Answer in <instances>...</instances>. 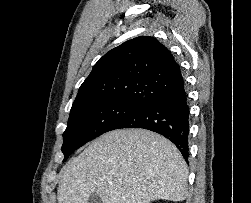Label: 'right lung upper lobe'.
I'll return each mask as SVG.
<instances>
[{
    "instance_id": "right-lung-upper-lobe-1",
    "label": "right lung upper lobe",
    "mask_w": 251,
    "mask_h": 203,
    "mask_svg": "<svg viewBox=\"0 0 251 203\" xmlns=\"http://www.w3.org/2000/svg\"><path fill=\"white\" fill-rule=\"evenodd\" d=\"M182 84L180 67L170 51L155 38L140 36L100 58L73 105L125 102L144 106Z\"/></svg>"
}]
</instances>
